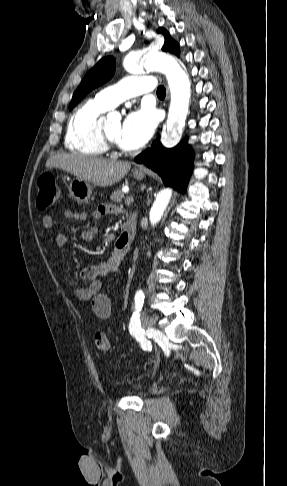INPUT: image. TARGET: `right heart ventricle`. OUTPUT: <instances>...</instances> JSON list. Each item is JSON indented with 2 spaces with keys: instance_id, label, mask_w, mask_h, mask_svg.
<instances>
[{
  "instance_id": "e07e8e85",
  "label": "right heart ventricle",
  "mask_w": 287,
  "mask_h": 486,
  "mask_svg": "<svg viewBox=\"0 0 287 486\" xmlns=\"http://www.w3.org/2000/svg\"><path fill=\"white\" fill-rule=\"evenodd\" d=\"M107 110L96 99H90L73 112L65 135V144L70 151L92 157H100L107 152L99 123L100 116Z\"/></svg>"
}]
</instances>
